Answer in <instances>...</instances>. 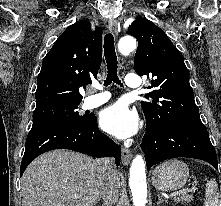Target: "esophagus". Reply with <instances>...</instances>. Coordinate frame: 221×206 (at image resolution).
Here are the masks:
<instances>
[{
    "mask_svg": "<svg viewBox=\"0 0 221 206\" xmlns=\"http://www.w3.org/2000/svg\"><path fill=\"white\" fill-rule=\"evenodd\" d=\"M108 27L112 33L117 34L118 24L115 20H113V19L109 20ZM121 154H122V164L127 166L132 159V153L129 149L122 148Z\"/></svg>",
    "mask_w": 221,
    "mask_h": 206,
    "instance_id": "obj_1",
    "label": "esophagus"
}]
</instances>
